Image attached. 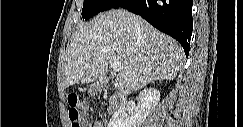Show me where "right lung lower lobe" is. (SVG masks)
Segmentation results:
<instances>
[{
  "mask_svg": "<svg viewBox=\"0 0 243 127\" xmlns=\"http://www.w3.org/2000/svg\"><path fill=\"white\" fill-rule=\"evenodd\" d=\"M192 0H119L113 8H124L140 15L158 30L172 36L190 51L193 29Z\"/></svg>",
  "mask_w": 243,
  "mask_h": 127,
  "instance_id": "98d812e1",
  "label": "right lung lower lobe"
}]
</instances>
